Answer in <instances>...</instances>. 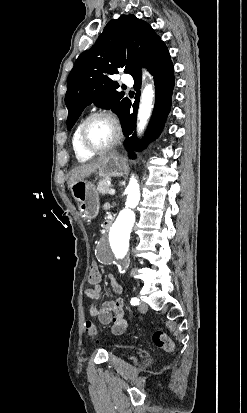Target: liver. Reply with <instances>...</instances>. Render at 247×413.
<instances>
[{
	"mask_svg": "<svg viewBox=\"0 0 247 413\" xmlns=\"http://www.w3.org/2000/svg\"><path fill=\"white\" fill-rule=\"evenodd\" d=\"M105 158L106 156H100V158H96L93 162H87V164H80V166H75V168H72L68 184H73V182L84 180L86 176H90L92 172H95V170L101 166Z\"/></svg>",
	"mask_w": 247,
	"mask_h": 413,
	"instance_id": "1",
	"label": "liver"
}]
</instances>
